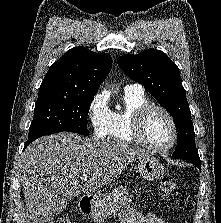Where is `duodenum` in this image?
Wrapping results in <instances>:
<instances>
[{"label":"duodenum","mask_w":221,"mask_h":223,"mask_svg":"<svg viewBox=\"0 0 221 223\" xmlns=\"http://www.w3.org/2000/svg\"><path fill=\"white\" fill-rule=\"evenodd\" d=\"M79 207L80 211L84 214L87 215L91 211V200L88 197H83L79 201Z\"/></svg>","instance_id":"1"}]
</instances>
